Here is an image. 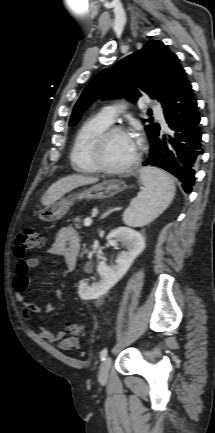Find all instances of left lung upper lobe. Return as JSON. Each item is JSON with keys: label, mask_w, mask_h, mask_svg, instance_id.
I'll use <instances>...</instances> for the list:
<instances>
[{"label": "left lung upper lobe", "mask_w": 215, "mask_h": 433, "mask_svg": "<svg viewBox=\"0 0 215 433\" xmlns=\"http://www.w3.org/2000/svg\"><path fill=\"white\" fill-rule=\"evenodd\" d=\"M185 78L186 73L177 56L161 41L152 40L141 50L102 70L92 79L76 103L69 125L74 126L82 113L98 98L134 94L129 99L137 100L143 94H148L163 106ZM145 129L152 143L160 127L152 123Z\"/></svg>", "instance_id": "5c2ea615"}]
</instances>
